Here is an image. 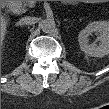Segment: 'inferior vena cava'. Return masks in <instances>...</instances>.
Listing matches in <instances>:
<instances>
[{"label": "inferior vena cava", "instance_id": "602c4592", "mask_svg": "<svg viewBox=\"0 0 109 109\" xmlns=\"http://www.w3.org/2000/svg\"><path fill=\"white\" fill-rule=\"evenodd\" d=\"M36 22V19L34 17H23L22 19H20L19 23L22 25H32Z\"/></svg>", "mask_w": 109, "mask_h": 109}]
</instances>
